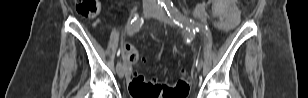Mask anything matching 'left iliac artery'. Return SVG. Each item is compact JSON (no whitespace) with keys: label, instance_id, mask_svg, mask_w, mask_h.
I'll list each match as a JSON object with an SVG mask.
<instances>
[{"label":"left iliac artery","instance_id":"44dca946","mask_svg":"<svg viewBox=\"0 0 308 98\" xmlns=\"http://www.w3.org/2000/svg\"><path fill=\"white\" fill-rule=\"evenodd\" d=\"M165 10L167 11L168 16L173 19L174 23L186 27V29L192 30L194 33L201 31V34L204 36H209L208 41L212 42L213 38L210 37L212 25L211 24H195L192 19H189L183 16L179 10L173 5L172 2H167L165 5ZM210 46V45H209Z\"/></svg>","mask_w":308,"mask_h":98}]
</instances>
